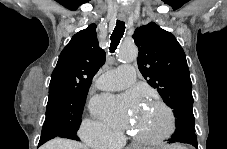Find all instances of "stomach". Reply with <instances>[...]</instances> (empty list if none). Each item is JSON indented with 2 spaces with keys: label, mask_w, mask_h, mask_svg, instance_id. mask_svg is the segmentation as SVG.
<instances>
[{
  "label": "stomach",
  "mask_w": 227,
  "mask_h": 149,
  "mask_svg": "<svg viewBox=\"0 0 227 149\" xmlns=\"http://www.w3.org/2000/svg\"><path fill=\"white\" fill-rule=\"evenodd\" d=\"M168 149H175V148L170 147V148H168Z\"/></svg>",
  "instance_id": "1"
}]
</instances>
